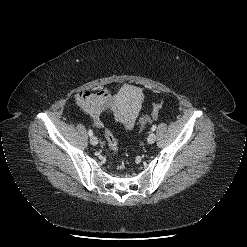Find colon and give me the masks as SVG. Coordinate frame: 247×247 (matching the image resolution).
<instances>
[{
	"label": "colon",
	"instance_id": "colon-1",
	"mask_svg": "<svg viewBox=\"0 0 247 247\" xmlns=\"http://www.w3.org/2000/svg\"><path fill=\"white\" fill-rule=\"evenodd\" d=\"M149 121H150V118L147 117V116L142 118L141 126H143L144 124H146ZM105 138H106V141H107V144H108L110 150L114 154H116L117 151H118V143H117V140H116L115 136L113 135V133L109 129H107L105 131Z\"/></svg>",
	"mask_w": 247,
	"mask_h": 247
}]
</instances>
